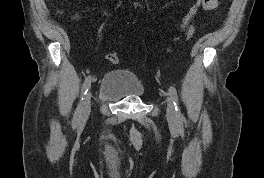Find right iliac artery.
Listing matches in <instances>:
<instances>
[{"label": "right iliac artery", "instance_id": "1", "mask_svg": "<svg viewBox=\"0 0 264 178\" xmlns=\"http://www.w3.org/2000/svg\"><path fill=\"white\" fill-rule=\"evenodd\" d=\"M90 84H91V77L88 76L85 79L83 86H82L81 99H80L79 105L74 113L73 120H72L73 126H77V124L79 123V118H80V113H81V102L84 99V96L87 94L90 88Z\"/></svg>", "mask_w": 264, "mask_h": 178}]
</instances>
